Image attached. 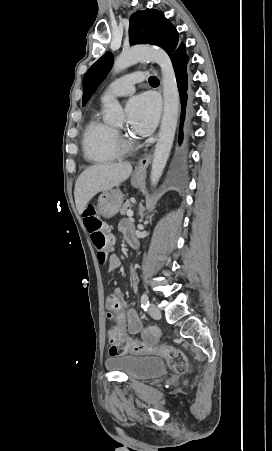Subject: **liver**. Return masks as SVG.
Returning <instances> with one entry per match:
<instances>
[{
	"instance_id": "1",
	"label": "liver",
	"mask_w": 272,
	"mask_h": 451,
	"mask_svg": "<svg viewBox=\"0 0 272 451\" xmlns=\"http://www.w3.org/2000/svg\"><path fill=\"white\" fill-rule=\"evenodd\" d=\"M132 174L129 162L120 164H95L80 174L74 190L75 204L78 214H83L88 202L98 192L112 190L120 182H124Z\"/></svg>"
}]
</instances>
